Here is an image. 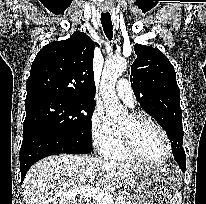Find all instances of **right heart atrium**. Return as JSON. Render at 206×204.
<instances>
[{"instance_id":"obj_1","label":"right heart atrium","mask_w":206,"mask_h":204,"mask_svg":"<svg viewBox=\"0 0 206 204\" xmlns=\"http://www.w3.org/2000/svg\"><path fill=\"white\" fill-rule=\"evenodd\" d=\"M90 134L95 149L103 153L112 143L115 127L101 107H96L90 119Z\"/></svg>"}]
</instances>
